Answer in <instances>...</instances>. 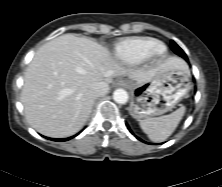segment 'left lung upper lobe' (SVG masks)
I'll use <instances>...</instances> for the list:
<instances>
[{"label": "left lung upper lobe", "instance_id": "1", "mask_svg": "<svg viewBox=\"0 0 222 187\" xmlns=\"http://www.w3.org/2000/svg\"><path fill=\"white\" fill-rule=\"evenodd\" d=\"M171 48L177 55L183 58L186 56L184 51L173 40L171 41Z\"/></svg>", "mask_w": 222, "mask_h": 187}]
</instances>
